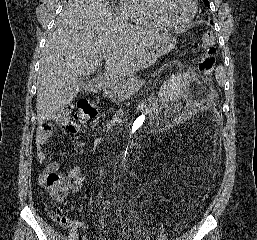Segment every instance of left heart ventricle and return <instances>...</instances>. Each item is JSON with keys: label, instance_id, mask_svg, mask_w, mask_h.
Wrapping results in <instances>:
<instances>
[{"label": "left heart ventricle", "instance_id": "obj_1", "mask_svg": "<svg viewBox=\"0 0 257 240\" xmlns=\"http://www.w3.org/2000/svg\"><path fill=\"white\" fill-rule=\"evenodd\" d=\"M164 15L172 22L184 21L191 12L190 0H161Z\"/></svg>", "mask_w": 257, "mask_h": 240}]
</instances>
